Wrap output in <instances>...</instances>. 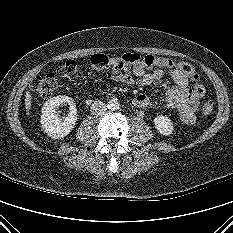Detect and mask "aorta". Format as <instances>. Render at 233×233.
<instances>
[{
    "label": "aorta",
    "instance_id": "1",
    "mask_svg": "<svg viewBox=\"0 0 233 233\" xmlns=\"http://www.w3.org/2000/svg\"><path fill=\"white\" fill-rule=\"evenodd\" d=\"M119 108H120V104H119L117 99L114 98V99L109 100L108 109L113 111V110H117Z\"/></svg>",
    "mask_w": 233,
    "mask_h": 233
}]
</instances>
